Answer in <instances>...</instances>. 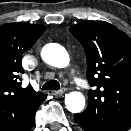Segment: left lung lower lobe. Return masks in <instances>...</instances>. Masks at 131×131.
Listing matches in <instances>:
<instances>
[{
  "label": "left lung lower lobe",
  "instance_id": "left-lung-lower-lobe-1",
  "mask_svg": "<svg viewBox=\"0 0 131 131\" xmlns=\"http://www.w3.org/2000/svg\"><path fill=\"white\" fill-rule=\"evenodd\" d=\"M75 122H77L84 131H106L97 124H95L86 114L83 112L74 115Z\"/></svg>",
  "mask_w": 131,
  "mask_h": 131
}]
</instances>
